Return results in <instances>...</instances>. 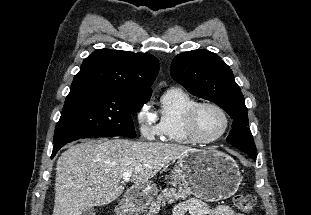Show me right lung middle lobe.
I'll use <instances>...</instances> for the list:
<instances>
[{
    "instance_id": "obj_1",
    "label": "right lung middle lobe",
    "mask_w": 311,
    "mask_h": 215,
    "mask_svg": "<svg viewBox=\"0 0 311 215\" xmlns=\"http://www.w3.org/2000/svg\"><path fill=\"white\" fill-rule=\"evenodd\" d=\"M150 96L134 95L97 87L71 88L56 125L54 144L93 137H136L131 113Z\"/></svg>"
}]
</instances>
